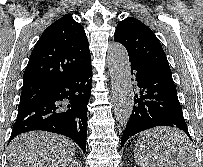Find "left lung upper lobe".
I'll return each mask as SVG.
<instances>
[{"mask_svg":"<svg viewBox=\"0 0 203 167\" xmlns=\"http://www.w3.org/2000/svg\"><path fill=\"white\" fill-rule=\"evenodd\" d=\"M114 40L124 45L130 60H138L162 74L172 76L159 40L140 20L128 17L120 21L115 30Z\"/></svg>","mask_w":203,"mask_h":167,"instance_id":"left-lung-upper-lobe-1","label":"left lung upper lobe"}]
</instances>
